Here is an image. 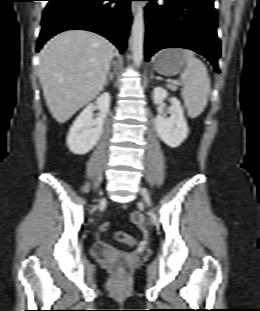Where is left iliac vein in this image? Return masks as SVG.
Returning <instances> with one entry per match:
<instances>
[{"instance_id": "1", "label": "left iliac vein", "mask_w": 260, "mask_h": 311, "mask_svg": "<svg viewBox=\"0 0 260 311\" xmlns=\"http://www.w3.org/2000/svg\"><path fill=\"white\" fill-rule=\"evenodd\" d=\"M141 194H142V196H143L144 201H145L148 205H150V204H151V200H150V196H149V193L147 192V190L144 189V188H142V189H141Z\"/></svg>"}]
</instances>
